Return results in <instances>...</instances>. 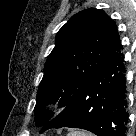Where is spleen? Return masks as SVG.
I'll return each instance as SVG.
<instances>
[{
	"instance_id": "obj_1",
	"label": "spleen",
	"mask_w": 136,
	"mask_h": 136,
	"mask_svg": "<svg viewBox=\"0 0 136 136\" xmlns=\"http://www.w3.org/2000/svg\"><path fill=\"white\" fill-rule=\"evenodd\" d=\"M71 136H91V135H88L84 132H74L71 134Z\"/></svg>"
}]
</instances>
